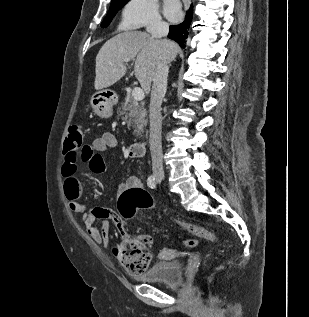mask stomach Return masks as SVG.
<instances>
[{"instance_id":"0dacf381","label":"stomach","mask_w":309,"mask_h":317,"mask_svg":"<svg viewBox=\"0 0 309 317\" xmlns=\"http://www.w3.org/2000/svg\"><path fill=\"white\" fill-rule=\"evenodd\" d=\"M118 102L117 94L109 89L94 93L90 99V105L95 114L101 118H109L113 114V106Z\"/></svg>"}]
</instances>
